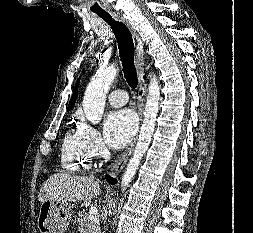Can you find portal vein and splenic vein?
I'll return each mask as SVG.
<instances>
[{"mask_svg": "<svg viewBox=\"0 0 253 233\" xmlns=\"http://www.w3.org/2000/svg\"><path fill=\"white\" fill-rule=\"evenodd\" d=\"M89 220L95 221L98 216V210L95 206H91L88 212Z\"/></svg>", "mask_w": 253, "mask_h": 233, "instance_id": "18ae733b", "label": "portal vein and splenic vein"}]
</instances>
